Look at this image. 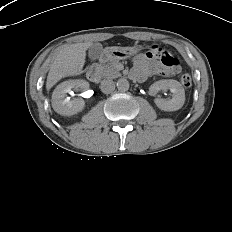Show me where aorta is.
<instances>
[{
    "label": "aorta",
    "instance_id": "aorta-1",
    "mask_svg": "<svg viewBox=\"0 0 232 232\" xmlns=\"http://www.w3.org/2000/svg\"><path fill=\"white\" fill-rule=\"evenodd\" d=\"M117 88L120 91H127L129 89V82L125 78H121L117 81Z\"/></svg>",
    "mask_w": 232,
    "mask_h": 232
}]
</instances>
